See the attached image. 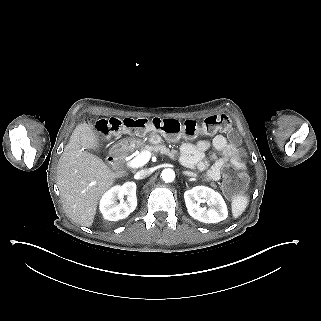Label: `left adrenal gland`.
Returning a JSON list of instances; mask_svg holds the SVG:
<instances>
[{
  "instance_id": "left-adrenal-gland-1",
  "label": "left adrenal gland",
  "mask_w": 321,
  "mask_h": 321,
  "mask_svg": "<svg viewBox=\"0 0 321 321\" xmlns=\"http://www.w3.org/2000/svg\"><path fill=\"white\" fill-rule=\"evenodd\" d=\"M184 175L190 176V177H195V174L193 172L190 171H183Z\"/></svg>"
}]
</instances>
